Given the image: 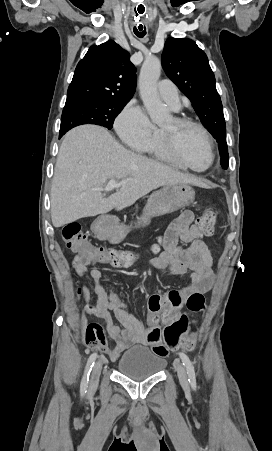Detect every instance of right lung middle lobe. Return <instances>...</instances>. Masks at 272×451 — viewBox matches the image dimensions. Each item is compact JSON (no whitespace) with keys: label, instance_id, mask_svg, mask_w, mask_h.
Segmentation results:
<instances>
[{"label":"right lung middle lobe","instance_id":"right-lung-middle-lobe-1","mask_svg":"<svg viewBox=\"0 0 272 451\" xmlns=\"http://www.w3.org/2000/svg\"><path fill=\"white\" fill-rule=\"evenodd\" d=\"M129 101L84 98L66 102L61 117L60 135L82 124L112 128L114 119Z\"/></svg>","mask_w":272,"mask_h":451}]
</instances>
